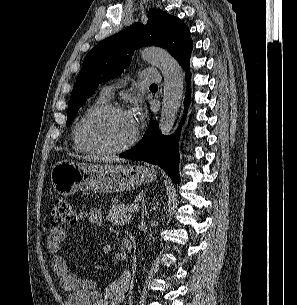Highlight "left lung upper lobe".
<instances>
[{"label": "left lung upper lobe", "instance_id": "left-lung-upper-lobe-1", "mask_svg": "<svg viewBox=\"0 0 297 305\" xmlns=\"http://www.w3.org/2000/svg\"><path fill=\"white\" fill-rule=\"evenodd\" d=\"M152 45L167 49L181 66L189 62L193 48L190 31L179 18L151 9L146 25L135 23L106 38L87 54L71 93L66 125L100 83L118 76L130 64L136 49Z\"/></svg>", "mask_w": 297, "mask_h": 305}]
</instances>
